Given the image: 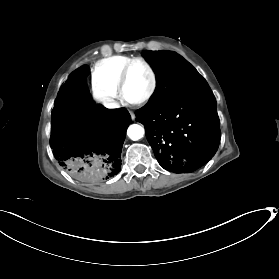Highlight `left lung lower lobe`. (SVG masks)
Segmentation results:
<instances>
[{
  "label": "left lung lower lobe",
  "mask_w": 279,
  "mask_h": 279,
  "mask_svg": "<svg viewBox=\"0 0 279 279\" xmlns=\"http://www.w3.org/2000/svg\"><path fill=\"white\" fill-rule=\"evenodd\" d=\"M136 116L157 161L170 172H193L218 149L216 100L205 79L160 107L140 108Z\"/></svg>",
  "instance_id": "1"
}]
</instances>
